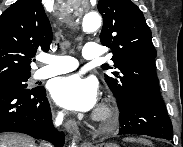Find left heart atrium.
Returning <instances> with one entry per match:
<instances>
[{
	"mask_svg": "<svg viewBox=\"0 0 183 147\" xmlns=\"http://www.w3.org/2000/svg\"><path fill=\"white\" fill-rule=\"evenodd\" d=\"M54 101L70 110L87 111L97 101V85L94 80L73 74L55 79L50 88Z\"/></svg>",
	"mask_w": 183,
	"mask_h": 147,
	"instance_id": "39dd6f15",
	"label": "left heart atrium"
}]
</instances>
